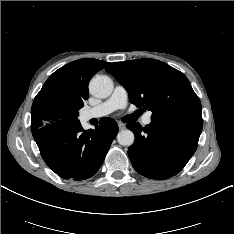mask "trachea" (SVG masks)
<instances>
[{
    "instance_id": "trachea-1",
    "label": "trachea",
    "mask_w": 234,
    "mask_h": 234,
    "mask_svg": "<svg viewBox=\"0 0 234 234\" xmlns=\"http://www.w3.org/2000/svg\"><path fill=\"white\" fill-rule=\"evenodd\" d=\"M138 116H139L138 112H136L134 114H131V115H127V116L124 117V121L126 123L133 122V121H135L137 119Z\"/></svg>"
}]
</instances>
